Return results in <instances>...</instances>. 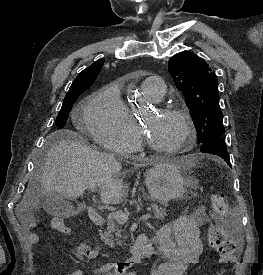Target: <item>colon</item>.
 Here are the masks:
<instances>
[{"instance_id":"obj_1","label":"colon","mask_w":263,"mask_h":275,"mask_svg":"<svg viewBox=\"0 0 263 275\" xmlns=\"http://www.w3.org/2000/svg\"><path fill=\"white\" fill-rule=\"evenodd\" d=\"M210 205L214 216H222L227 209V200L225 195L215 193L210 197ZM54 228L61 233H69V228L61 221L54 223ZM208 244L219 253V262L232 267L237 259V246L219 226H212L207 233Z\"/></svg>"}]
</instances>
